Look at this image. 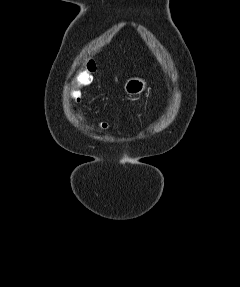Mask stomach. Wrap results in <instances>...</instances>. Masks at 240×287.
<instances>
[{"label":"stomach","mask_w":240,"mask_h":287,"mask_svg":"<svg viewBox=\"0 0 240 287\" xmlns=\"http://www.w3.org/2000/svg\"><path fill=\"white\" fill-rule=\"evenodd\" d=\"M145 88L146 82L138 77L129 78L124 84V90L130 96L141 94Z\"/></svg>","instance_id":"obj_1"}]
</instances>
